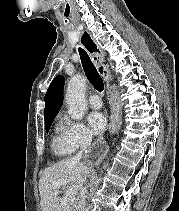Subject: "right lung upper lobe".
<instances>
[{"instance_id":"obj_1","label":"right lung upper lobe","mask_w":179,"mask_h":211,"mask_svg":"<svg viewBox=\"0 0 179 211\" xmlns=\"http://www.w3.org/2000/svg\"><path fill=\"white\" fill-rule=\"evenodd\" d=\"M102 71V67L100 68ZM64 77L58 75L51 82L45 95V120L55 117L63 103Z\"/></svg>"}]
</instances>
